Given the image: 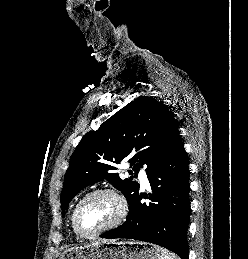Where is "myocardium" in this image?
<instances>
[{"label":"myocardium","instance_id":"obj_1","mask_svg":"<svg viewBox=\"0 0 248 259\" xmlns=\"http://www.w3.org/2000/svg\"><path fill=\"white\" fill-rule=\"evenodd\" d=\"M101 194H109L111 196H113L119 203L120 206V211L118 216L116 217V219L111 222L110 224L104 226L103 228L93 232V233H86L84 232L78 222V213L79 210L81 208V206L91 197H94L96 195H101ZM128 214V204L127 201L125 199V197L116 189L111 188V187H104V188H98L95 189L89 193H87L86 195H84L79 202L76 204L74 210H73V214H72V224L73 227L76 231V233L84 238H95L107 231H110L116 227H118L119 225L122 224V222L125 220V218L127 217Z\"/></svg>","mask_w":248,"mask_h":259}]
</instances>
